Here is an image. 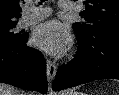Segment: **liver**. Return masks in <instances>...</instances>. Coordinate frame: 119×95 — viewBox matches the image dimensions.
I'll use <instances>...</instances> for the list:
<instances>
[{"label": "liver", "instance_id": "1", "mask_svg": "<svg viewBox=\"0 0 119 95\" xmlns=\"http://www.w3.org/2000/svg\"><path fill=\"white\" fill-rule=\"evenodd\" d=\"M0 95H35V94L33 93L24 94L21 90L13 86L0 83Z\"/></svg>", "mask_w": 119, "mask_h": 95}]
</instances>
